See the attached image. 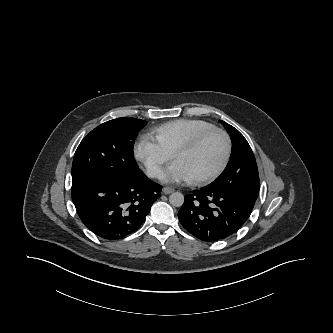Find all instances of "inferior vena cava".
<instances>
[{
    "mask_svg": "<svg viewBox=\"0 0 333 333\" xmlns=\"http://www.w3.org/2000/svg\"><path fill=\"white\" fill-rule=\"evenodd\" d=\"M147 175L149 177H156V178H161L163 176V173L159 167H149L147 168Z\"/></svg>",
    "mask_w": 333,
    "mask_h": 333,
    "instance_id": "1",
    "label": "inferior vena cava"
}]
</instances>
